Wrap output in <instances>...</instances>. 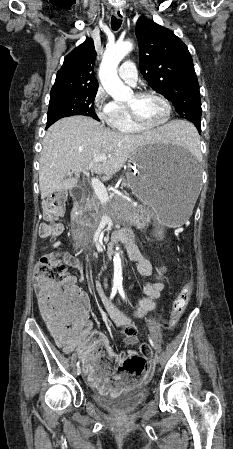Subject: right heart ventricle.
Masks as SVG:
<instances>
[{
  "instance_id": "1",
  "label": "right heart ventricle",
  "mask_w": 233,
  "mask_h": 449,
  "mask_svg": "<svg viewBox=\"0 0 233 449\" xmlns=\"http://www.w3.org/2000/svg\"><path fill=\"white\" fill-rule=\"evenodd\" d=\"M109 124L112 129L122 134L132 135L144 130L132 122L125 105L122 103H115V112L111 117Z\"/></svg>"
}]
</instances>
